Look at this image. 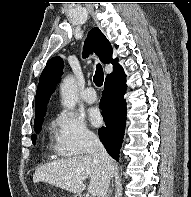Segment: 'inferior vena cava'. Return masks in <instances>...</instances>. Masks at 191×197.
Returning <instances> with one entry per match:
<instances>
[{
  "label": "inferior vena cava",
  "mask_w": 191,
  "mask_h": 197,
  "mask_svg": "<svg viewBox=\"0 0 191 197\" xmlns=\"http://www.w3.org/2000/svg\"><path fill=\"white\" fill-rule=\"evenodd\" d=\"M88 149L91 156L98 161L103 168V182L97 197H108L113 169L112 160L96 135H90L88 137Z\"/></svg>",
  "instance_id": "1"
}]
</instances>
